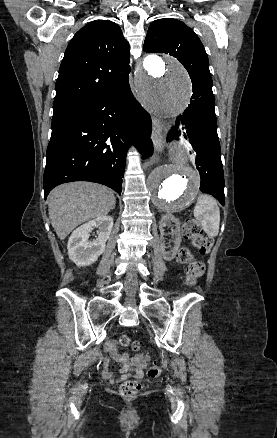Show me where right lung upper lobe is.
<instances>
[{"instance_id": "cb5924a9", "label": "right lung upper lobe", "mask_w": 277, "mask_h": 438, "mask_svg": "<svg viewBox=\"0 0 277 438\" xmlns=\"http://www.w3.org/2000/svg\"><path fill=\"white\" fill-rule=\"evenodd\" d=\"M129 58V44L116 23L95 20L85 25L74 35L65 51L56 82L54 111H65L125 80L130 73ZM70 64H83L94 69L75 71ZM107 64L113 67H104Z\"/></svg>"}]
</instances>
